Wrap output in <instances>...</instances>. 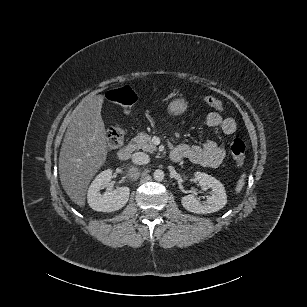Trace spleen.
<instances>
[{"label":"spleen","mask_w":307,"mask_h":307,"mask_svg":"<svg viewBox=\"0 0 307 307\" xmlns=\"http://www.w3.org/2000/svg\"><path fill=\"white\" fill-rule=\"evenodd\" d=\"M245 176H246V175L243 174V175L241 176V178L238 180L237 185H236V188H235L236 193H240V191L242 190V188H243V186H244V184H245V182H244Z\"/></svg>","instance_id":"spleen-1"}]
</instances>
